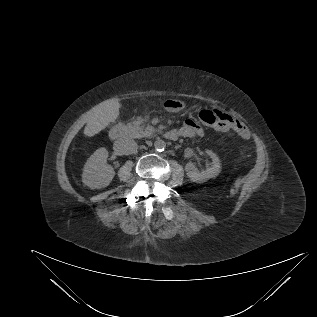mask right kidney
Masks as SVG:
<instances>
[{"instance_id": "right-kidney-1", "label": "right kidney", "mask_w": 317, "mask_h": 317, "mask_svg": "<svg viewBox=\"0 0 317 317\" xmlns=\"http://www.w3.org/2000/svg\"><path fill=\"white\" fill-rule=\"evenodd\" d=\"M107 157L106 148H99L84 165L82 182L91 189L107 187L112 181L115 172L112 166L106 164Z\"/></svg>"}]
</instances>
